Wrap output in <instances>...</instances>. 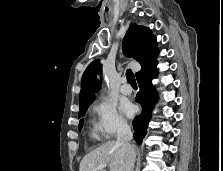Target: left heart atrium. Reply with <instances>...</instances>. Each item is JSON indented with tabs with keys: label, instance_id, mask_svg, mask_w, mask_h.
<instances>
[{
	"label": "left heart atrium",
	"instance_id": "39dd6f15",
	"mask_svg": "<svg viewBox=\"0 0 223 171\" xmlns=\"http://www.w3.org/2000/svg\"><path fill=\"white\" fill-rule=\"evenodd\" d=\"M121 109H122V112L128 117H131L135 111L134 106L128 102L122 104Z\"/></svg>",
	"mask_w": 223,
	"mask_h": 171
}]
</instances>
